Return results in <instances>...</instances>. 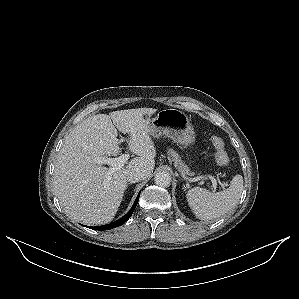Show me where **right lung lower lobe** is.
Wrapping results in <instances>:
<instances>
[{
	"mask_svg": "<svg viewBox=\"0 0 299 299\" xmlns=\"http://www.w3.org/2000/svg\"><path fill=\"white\" fill-rule=\"evenodd\" d=\"M139 196H140V192H139L132 208L130 209V211L125 216H123L122 218L118 219L117 221H115L113 223L107 224V225L97 226V227H90V228L94 229V230H102L103 231V230H109V229H112V228H115V227H118V226L124 224L130 218L132 213L134 212V210L136 208V205L138 203V200H139Z\"/></svg>",
	"mask_w": 299,
	"mask_h": 299,
	"instance_id": "1",
	"label": "right lung lower lobe"
}]
</instances>
